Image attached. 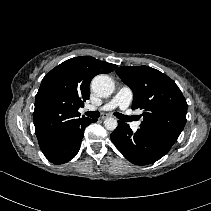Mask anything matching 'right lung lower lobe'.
Segmentation results:
<instances>
[{
  "label": "right lung lower lobe",
  "mask_w": 211,
  "mask_h": 211,
  "mask_svg": "<svg viewBox=\"0 0 211 211\" xmlns=\"http://www.w3.org/2000/svg\"><path fill=\"white\" fill-rule=\"evenodd\" d=\"M95 121L92 119L84 120L40 147L45 157L54 164L70 161L80 149L85 127Z\"/></svg>",
  "instance_id": "1"
}]
</instances>
